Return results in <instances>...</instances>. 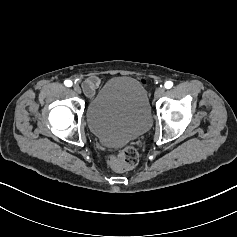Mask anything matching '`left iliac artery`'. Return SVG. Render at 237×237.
Listing matches in <instances>:
<instances>
[{
	"instance_id": "left-iliac-artery-1",
	"label": "left iliac artery",
	"mask_w": 237,
	"mask_h": 237,
	"mask_svg": "<svg viewBox=\"0 0 237 237\" xmlns=\"http://www.w3.org/2000/svg\"><path fill=\"white\" fill-rule=\"evenodd\" d=\"M172 86H173V82H171V81H166L164 84V87L166 89H170Z\"/></svg>"
}]
</instances>
